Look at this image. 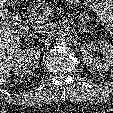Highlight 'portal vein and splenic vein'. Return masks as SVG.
Wrapping results in <instances>:
<instances>
[{
  "label": "portal vein and splenic vein",
  "instance_id": "18ae733b",
  "mask_svg": "<svg viewBox=\"0 0 113 113\" xmlns=\"http://www.w3.org/2000/svg\"><path fill=\"white\" fill-rule=\"evenodd\" d=\"M51 12H52L51 8L47 9V14H51Z\"/></svg>",
  "mask_w": 113,
  "mask_h": 113
}]
</instances>
